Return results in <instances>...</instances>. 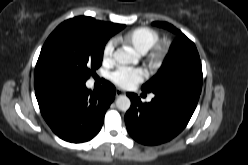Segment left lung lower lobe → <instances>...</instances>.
Here are the masks:
<instances>
[{
    "label": "left lung lower lobe",
    "mask_w": 248,
    "mask_h": 165,
    "mask_svg": "<svg viewBox=\"0 0 248 165\" xmlns=\"http://www.w3.org/2000/svg\"><path fill=\"white\" fill-rule=\"evenodd\" d=\"M131 107L125 123L130 136L145 145H157L171 140L188 124L199 100L196 94H155L150 103H142L133 93H127Z\"/></svg>",
    "instance_id": "left-lung-lower-lobe-1"
}]
</instances>
